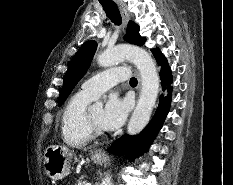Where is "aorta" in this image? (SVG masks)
Here are the masks:
<instances>
[{"label": "aorta", "instance_id": "762f6f07", "mask_svg": "<svg viewBox=\"0 0 233 185\" xmlns=\"http://www.w3.org/2000/svg\"><path fill=\"white\" fill-rule=\"evenodd\" d=\"M129 60L135 64L141 75V94L127 127L129 135L139 133L149 122L159 93L160 80L156 64L144 49L131 45H119L98 55L97 63L109 67ZM102 102H96L91 109L102 108ZM101 185H112V178L106 175Z\"/></svg>", "mask_w": 233, "mask_h": 185}]
</instances>
